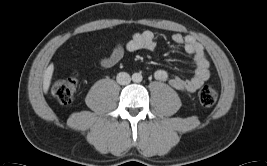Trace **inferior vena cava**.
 I'll list each match as a JSON object with an SVG mask.
<instances>
[{
	"label": "inferior vena cava",
	"instance_id": "obj_1",
	"mask_svg": "<svg viewBox=\"0 0 267 166\" xmlns=\"http://www.w3.org/2000/svg\"><path fill=\"white\" fill-rule=\"evenodd\" d=\"M116 80L120 85H127L130 83L131 77L126 72H120L117 74Z\"/></svg>",
	"mask_w": 267,
	"mask_h": 166
}]
</instances>
